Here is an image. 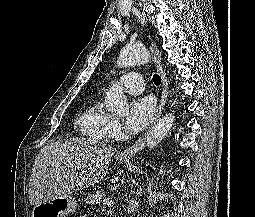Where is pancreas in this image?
I'll use <instances>...</instances> for the list:
<instances>
[{"label": "pancreas", "instance_id": "1", "mask_svg": "<svg viewBox=\"0 0 255 217\" xmlns=\"http://www.w3.org/2000/svg\"><path fill=\"white\" fill-rule=\"evenodd\" d=\"M103 196L104 193L97 190L92 194H89V196L87 197V202L91 205H100L102 203Z\"/></svg>", "mask_w": 255, "mask_h": 217}]
</instances>
